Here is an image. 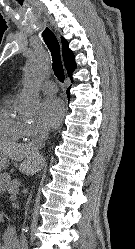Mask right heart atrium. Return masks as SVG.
Instances as JSON below:
<instances>
[{
	"label": "right heart atrium",
	"mask_w": 135,
	"mask_h": 249,
	"mask_svg": "<svg viewBox=\"0 0 135 249\" xmlns=\"http://www.w3.org/2000/svg\"><path fill=\"white\" fill-rule=\"evenodd\" d=\"M45 132L44 128L40 124H26V136L27 138H33L42 135Z\"/></svg>",
	"instance_id": "obj_1"
}]
</instances>
